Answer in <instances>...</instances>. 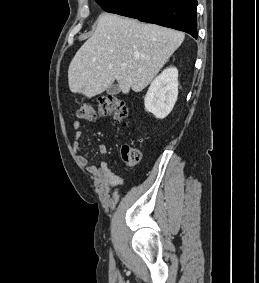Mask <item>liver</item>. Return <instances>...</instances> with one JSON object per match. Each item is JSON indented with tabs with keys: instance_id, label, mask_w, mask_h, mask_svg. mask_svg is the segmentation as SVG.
<instances>
[{
	"instance_id": "6515ba94",
	"label": "liver",
	"mask_w": 259,
	"mask_h": 283,
	"mask_svg": "<svg viewBox=\"0 0 259 283\" xmlns=\"http://www.w3.org/2000/svg\"><path fill=\"white\" fill-rule=\"evenodd\" d=\"M185 34L155 24L103 13L94 34L81 46L68 69L73 93L92 98L114 81L128 94L142 91L184 41ZM125 63L126 68L121 65Z\"/></svg>"
}]
</instances>
